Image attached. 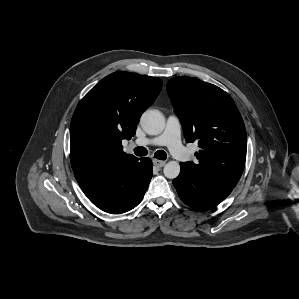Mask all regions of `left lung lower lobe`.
I'll list each match as a JSON object with an SVG mask.
<instances>
[{
  "mask_svg": "<svg viewBox=\"0 0 299 299\" xmlns=\"http://www.w3.org/2000/svg\"><path fill=\"white\" fill-rule=\"evenodd\" d=\"M181 171L173 180L180 199L194 209H208L223 201L233 190L219 182L192 173L183 163Z\"/></svg>",
  "mask_w": 299,
  "mask_h": 299,
  "instance_id": "0a47b994",
  "label": "left lung lower lobe"
}]
</instances>
